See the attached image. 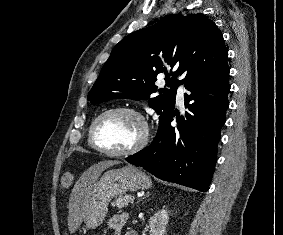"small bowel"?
I'll return each mask as SVG.
<instances>
[{"label":"small bowel","mask_w":283,"mask_h":235,"mask_svg":"<svg viewBox=\"0 0 283 235\" xmlns=\"http://www.w3.org/2000/svg\"><path fill=\"white\" fill-rule=\"evenodd\" d=\"M127 221V215L124 213L113 216L108 223L113 235H120L122 228Z\"/></svg>","instance_id":"obj_1"}]
</instances>
